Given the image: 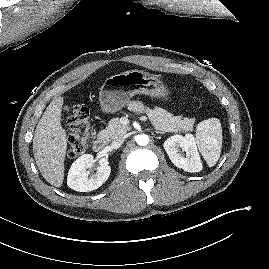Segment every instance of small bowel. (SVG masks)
<instances>
[{
    "mask_svg": "<svg viewBox=\"0 0 269 269\" xmlns=\"http://www.w3.org/2000/svg\"><path fill=\"white\" fill-rule=\"evenodd\" d=\"M130 107L133 109V110H136V111H140L142 110V104L140 102H137V101H134L131 103Z\"/></svg>",
    "mask_w": 269,
    "mask_h": 269,
    "instance_id": "obj_1",
    "label": "small bowel"
}]
</instances>
